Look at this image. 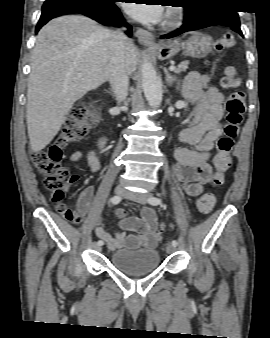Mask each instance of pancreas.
<instances>
[{"instance_id":"pancreas-1","label":"pancreas","mask_w":270,"mask_h":338,"mask_svg":"<svg viewBox=\"0 0 270 338\" xmlns=\"http://www.w3.org/2000/svg\"><path fill=\"white\" fill-rule=\"evenodd\" d=\"M188 62H182L178 67L174 70V73L179 74L182 71L187 69Z\"/></svg>"}]
</instances>
